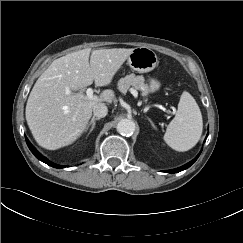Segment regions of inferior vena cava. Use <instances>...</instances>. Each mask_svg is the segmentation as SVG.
Segmentation results:
<instances>
[{
    "instance_id": "obj_1",
    "label": "inferior vena cava",
    "mask_w": 243,
    "mask_h": 243,
    "mask_svg": "<svg viewBox=\"0 0 243 243\" xmlns=\"http://www.w3.org/2000/svg\"><path fill=\"white\" fill-rule=\"evenodd\" d=\"M108 109L104 104H98L93 108V114L97 118H103L107 115Z\"/></svg>"
}]
</instances>
